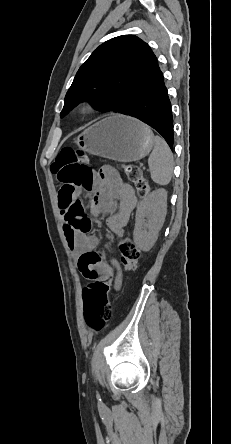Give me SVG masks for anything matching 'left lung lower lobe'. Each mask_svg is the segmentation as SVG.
I'll list each match as a JSON object with an SVG mask.
<instances>
[{"instance_id": "left-lung-lower-lobe-1", "label": "left lung lower lobe", "mask_w": 231, "mask_h": 444, "mask_svg": "<svg viewBox=\"0 0 231 444\" xmlns=\"http://www.w3.org/2000/svg\"><path fill=\"white\" fill-rule=\"evenodd\" d=\"M119 113L135 117L159 132L172 149L174 145L171 103L157 60L142 76Z\"/></svg>"}]
</instances>
